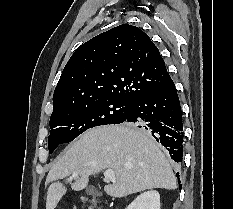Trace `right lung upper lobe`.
I'll return each instance as SVG.
<instances>
[{
  "label": "right lung upper lobe",
  "mask_w": 233,
  "mask_h": 209,
  "mask_svg": "<svg viewBox=\"0 0 233 209\" xmlns=\"http://www.w3.org/2000/svg\"><path fill=\"white\" fill-rule=\"evenodd\" d=\"M170 78L158 48L136 26L123 24L79 46L53 94V114L109 98L133 102Z\"/></svg>",
  "instance_id": "right-lung-upper-lobe-1"
}]
</instances>
